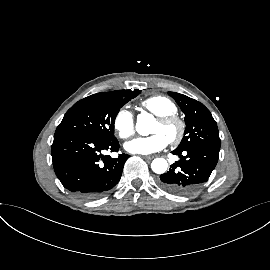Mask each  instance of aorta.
Here are the masks:
<instances>
[{
    "mask_svg": "<svg viewBox=\"0 0 270 270\" xmlns=\"http://www.w3.org/2000/svg\"><path fill=\"white\" fill-rule=\"evenodd\" d=\"M154 123V117L149 113H141L137 117L136 131L142 135L150 134L151 126ZM153 172L163 174L168 168V163L164 158H156L151 163Z\"/></svg>",
    "mask_w": 270,
    "mask_h": 270,
    "instance_id": "aorta-1",
    "label": "aorta"
}]
</instances>
